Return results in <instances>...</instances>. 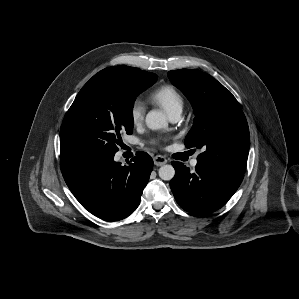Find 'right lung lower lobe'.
<instances>
[{"instance_id": "1", "label": "right lung lower lobe", "mask_w": 299, "mask_h": 299, "mask_svg": "<svg viewBox=\"0 0 299 299\" xmlns=\"http://www.w3.org/2000/svg\"><path fill=\"white\" fill-rule=\"evenodd\" d=\"M114 155L60 150L70 191L90 213L107 221L124 219L136 210L153 168L145 152H137L129 165L115 162Z\"/></svg>"}]
</instances>
